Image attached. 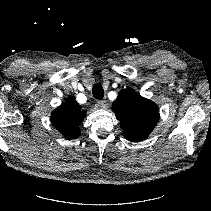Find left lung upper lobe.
Returning a JSON list of instances; mask_svg holds the SVG:
<instances>
[{"label":"left lung upper lobe","instance_id":"1","mask_svg":"<svg viewBox=\"0 0 211 211\" xmlns=\"http://www.w3.org/2000/svg\"><path fill=\"white\" fill-rule=\"evenodd\" d=\"M112 110L120 120L124 137L132 142L146 139L159 119L157 105L131 90H122Z\"/></svg>","mask_w":211,"mask_h":211}]
</instances>
